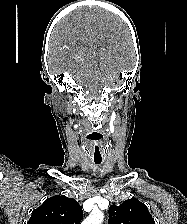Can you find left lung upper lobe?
<instances>
[{
  "label": "left lung upper lobe",
  "mask_w": 187,
  "mask_h": 224,
  "mask_svg": "<svg viewBox=\"0 0 187 224\" xmlns=\"http://www.w3.org/2000/svg\"><path fill=\"white\" fill-rule=\"evenodd\" d=\"M110 224H155L145 204L135 198L109 209Z\"/></svg>",
  "instance_id": "1"
}]
</instances>
